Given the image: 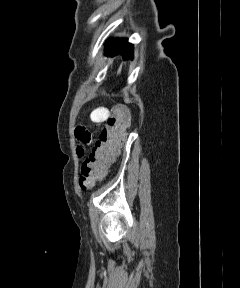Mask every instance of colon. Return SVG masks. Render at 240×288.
Returning a JSON list of instances; mask_svg holds the SVG:
<instances>
[{
  "label": "colon",
  "instance_id": "5ec220e1",
  "mask_svg": "<svg viewBox=\"0 0 240 288\" xmlns=\"http://www.w3.org/2000/svg\"><path fill=\"white\" fill-rule=\"evenodd\" d=\"M130 125V113L123 105L112 108L108 126L101 132L99 140L81 167L79 184L82 189L88 190L101 180L108 165L118 154L125 140L126 130Z\"/></svg>",
  "mask_w": 240,
  "mask_h": 288
}]
</instances>
